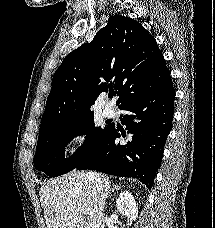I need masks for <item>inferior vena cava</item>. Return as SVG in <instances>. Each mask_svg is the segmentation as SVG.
<instances>
[{
    "instance_id": "inferior-vena-cava-1",
    "label": "inferior vena cava",
    "mask_w": 215,
    "mask_h": 228,
    "mask_svg": "<svg viewBox=\"0 0 215 228\" xmlns=\"http://www.w3.org/2000/svg\"><path fill=\"white\" fill-rule=\"evenodd\" d=\"M89 178H91L93 188H96L97 192H103L104 182H102L100 176L98 174H89Z\"/></svg>"
}]
</instances>
